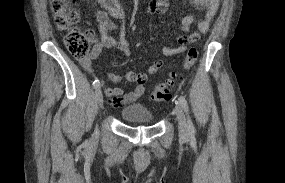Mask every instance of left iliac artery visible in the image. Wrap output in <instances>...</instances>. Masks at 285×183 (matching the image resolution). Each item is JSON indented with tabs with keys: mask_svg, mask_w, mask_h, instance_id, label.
Here are the masks:
<instances>
[{
	"mask_svg": "<svg viewBox=\"0 0 285 183\" xmlns=\"http://www.w3.org/2000/svg\"><path fill=\"white\" fill-rule=\"evenodd\" d=\"M179 103L181 104V106L183 107V109L185 110L186 114L188 115L187 117V123H188V130L190 134H194L195 133V127L192 123V120L189 117V108H188V103L187 100L185 99V97L180 96L178 98Z\"/></svg>",
	"mask_w": 285,
	"mask_h": 183,
	"instance_id": "obj_1",
	"label": "left iliac artery"
}]
</instances>
